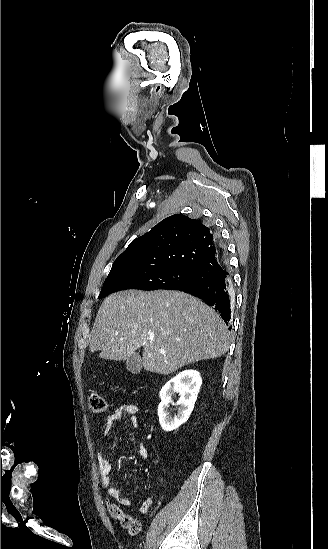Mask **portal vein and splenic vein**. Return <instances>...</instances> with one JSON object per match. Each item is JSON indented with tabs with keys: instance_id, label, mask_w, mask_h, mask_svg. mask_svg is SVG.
<instances>
[{
	"instance_id": "18ae733b",
	"label": "portal vein and splenic vein",
	"mask_w": 328,
	"mask_h": 549,
	"mask_svg": "<svg viewBox=\"0 0 328 549\" xmlns=\"http://www.w3.org/2000/svg\"><path fill=\"white\" fill-rule=\"evenodd\" d=\"M150 341H153V337H150Z\"/></svg>"
}]
</instances>
